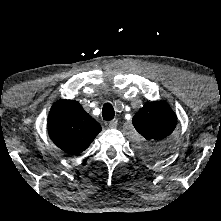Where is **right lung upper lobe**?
<instances>
[{
  "label": "right lung upper lobe",
  "instance_id": "right-lung-upper-lobe-1",
  "mask_svg": "<svg viewBox=\"0 0 221 221\" xmlns=\"http://www.w3.org/2000/svg\"><path fill=\"white\" fill-rule=\"evenodd\" d=\"M100 131V124L77 101L58 100L49 112L48 132L51 140L71 155L87 149Z\"/></svg>",
  "mask_w": 221,
  "mask_h": 221
}]
</instances>
